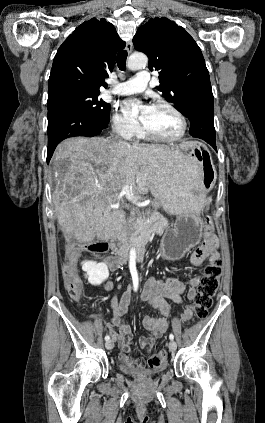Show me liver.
Wrapping results in <instances>:
<instances>
[{
	"label": "liver",
	"mask_w": 265,
	"mask_h": 423,
	"mask_svg": "<svg viewBox=\"0 0 265 423\" xmlns=\"http://www.w3.org/2000/svg\"><path fill=\"white\" fill-rule=\"evenodd\" d=\"M53 167L58 174L53 204L67 241L88 243L115 235L125 212L113 205L125 185H131L133 194L150 191L170 214L198 208L188 191L199 172L191 165L186 170L182 154L165 145L69 138L56 148Z\"/></svg>",
	"instance_id": "obj_1"
}]
</instances>
